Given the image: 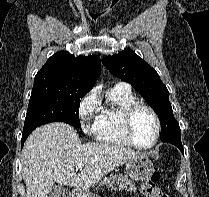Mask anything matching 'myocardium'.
Returning <instances> with one entry per match:
<instances>
[{
    "instance_id": "obj_1",
    "label": "myocardium",
    "mask_w": 209,
    "mask_h": 197,
    "mask_svg": "<svg viewBox=\"0 0 209 197\" xmlns=\"http://www.w3.org/2000/svg\"><path fill=\"white\" fill-rule=\"evenodd\" d=\"M138 109H145L149 111L151 115L153 116V119L155 122V135H154L153 141L147 145H142V144L137 143L132 134L133 115ZM122 129H123L125 138L127 139L130 145L139 149H151L157 144L159 137H160V130H161L160 118L157 112L150 105L141 101H135L131 103L129 106H127L123 112Z\"/></svg>"
}]
</instances>
